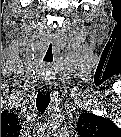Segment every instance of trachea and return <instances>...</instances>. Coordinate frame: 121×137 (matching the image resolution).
<instances>
[{
    "label": "trachea",
    "mask_w": 121,
    "mask_h": 137,
    "mask_svg": "<svg viewBox=\"0 0 121 137\" xmlns=\"http://www.w3.org/2000/svg\"><path fill=\"white\" fill-rule=\"evenodd\" d=\"M44 60L47 62H52L53 61V46L52 43L49 44L47 51L44 56ZM50 102V92H39L37 95V100H36V107L39 112L44 113L46 108L48 107Z\"/></svg>",
    "instance_id": "3493384b"
}]
</instances>
